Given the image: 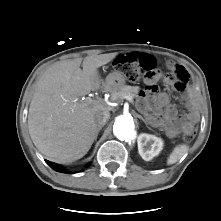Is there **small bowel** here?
Segmentation results:
<instances>
[{"label": "small bowel", "mask_w": 221, "mask_h": 221, "mask_svg": "<svg viewBox=\"0 0 221 221\" xmlns=\"http://www.w3.org/2000/svg\"><path fill=\"white\" fill-rule=\"evenodd\" d=\"M126 54L134 58L144 53L130 52ZM126 54H121L119 56H124ZM167 67L176 78L188 81L189 74L185 67L173 62H168ZM155 80L149 82L153 83ZM144 96L149 100L154 113L152 121L162 128L170 138L178 137L183 130L193 126L198 120L197 108L189 97H185L188 111L179 114L177 109L169 104V96L165 92L156 91L151 88Z\"/></svg>", "instance_id": "c3829d8e"}]
</instances>
